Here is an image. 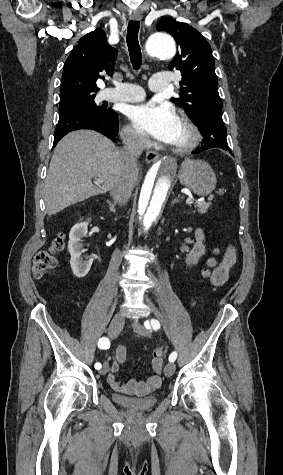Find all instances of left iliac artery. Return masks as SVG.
<instances>
[{
	"instance_id": "obj_1",
	"label": "left iliac artery",
	"mask_w": 283,
	"mask_h": 475,
	"mask_svg": "<svg viewBox=\"0 0 283 475\" xmlns=\"http://www.w3.org/2000/svg\"><path fill=\"white\" fill-rule=\"evenodd\" d=\"M144 326L147 328V329H150L151 326L154 330H157L160 328V323L155 320V319H152L151 322H149L148 320L144 322ZM177 358V353L176 352H172L169 356V361L170 362H174Z\"/></svg>"
}]
</instances>
